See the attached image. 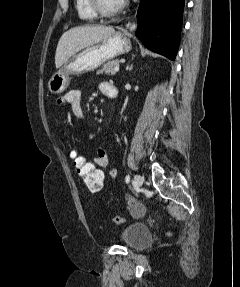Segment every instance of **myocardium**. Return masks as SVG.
Returning <instances> with one entry per match:
<instances>
[{"label":"myocardium","instance_id":"1","mask_svg":"<svg viewBox=\"0 0 240 287\" xmlns=\"http://www.w3.org/2000/svg\"><path fill=\"white\" fill-rule=\"evenodd\" d=\"M91 6L97 15L102 17H112L119 14L126 6L123 0L118 6L113 9H107L103 6L102 0H90Z\"/></svg>","mask_w":240,"mask_h":287}]
</instances>
